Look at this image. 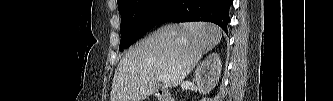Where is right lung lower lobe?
<instances>
[{
	"label": "right lung lower lobe",
	"mask_w": 333,
	"mask_h": 101,
	"mask_svg": "<svg viewBox=\"0 0 333 101\" xmlns=\"http://www.w3.org/2000/svg\"><path fill=\"white\" fill-rule=\"evenodd\" d=\"M233 0H171L161 23L207 21L227 32L229 8Z\"/></svg>",
	"instance_id": "obj_1"
}]
</instances>
